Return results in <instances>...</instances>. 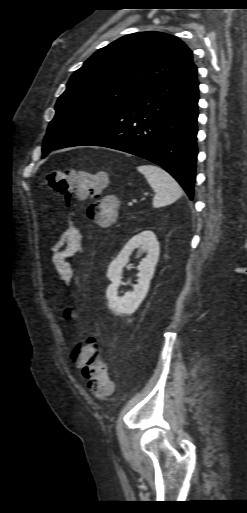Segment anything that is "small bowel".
<instances>
[{"mask_svg": "<svg viewBox=\"0 0 247 513\" xmlns=\"http://www.w3.org/2000/svg\"><path fill=\"white\" fill-rule=\"evenodd\" d=\"M83 240L79 228L71 223L49 247L51 252V263L56 270L59 280L68 284L72 279V269L69 259L81 254ZM72 361V360H71ZM74 364V361H72Z\"/></svg>", "mask_w": 247, "mask_h": 513, "instance_id": "c3829d8e", "label": "small bowel"}]
</instances>
